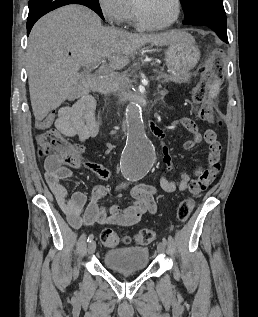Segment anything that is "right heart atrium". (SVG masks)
<instances>
[{
  "mask_svg": "<svg viewBox=\"0 0 258 317\" xmlns=\"http://www.w3.org/2000/svg\"><path fill=\"white\" fill-rule=\"evenodd\" d=\"M99 7L108 24L114 26H122L130 13L127 0H100Z\"/></svg>",
  "mask_w": 258,
  "mask_h": 317,
  "instance_id": "1",
  "label": "right heart atrium"
}]
</instances>
